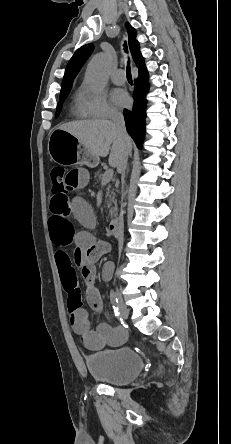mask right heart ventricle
Segmentation results:
<instances>
[{
	"instance_id": "right-heart-ventricle-1",
	"label": "right heart ventricle",
	"mask_w": 231,
	"mask_h": 444,
	"mask_svg": "<svg viewBox=\"0 0 231 444\" xmlns=\"http://www.w3.org/2000/svg\"><path fill=\"white\" fill-rule=\"evenodd\" d=\"M77 114H78V116L83 117V115L78 110V106H77Z\"/></svg>"
}]
</instances>
